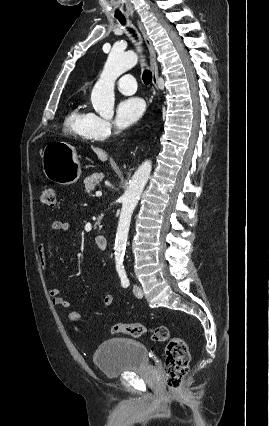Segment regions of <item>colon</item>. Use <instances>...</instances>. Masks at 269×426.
Masks as SVG:
<instances>
[{
    "mask_svg": "<svg viewBox=\"0 0 269 426\" xmlns=\"http://www.w3.org/2000/svg\"><path fill=\"white\" fill-rule=\"evenodd\" d=\"M41 202L47 206H54L56 203L55 191L50 186H45L40 194ZM114 334H127L133 337L149 335L155 342H163L165 348V375L166 385L171 391H177L183 378L188 373L190 354L185 341L174 336L166 325H156L152 327L140 323L116 322L109 328Z\"/></svg>",
    "mask_w": 269,
    "mask_h": 426,
    "instance_id": "1",
    "label": "colon"
}]
</instances>
